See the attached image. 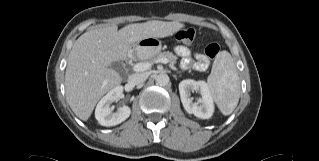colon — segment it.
Instances as JSON below:
<instances>
[{"label":"colon","mask_w":319,"mask_h":161,"mask_svg":"<svg viewBox=\"0 0 319 161\" xmlns=\"http://www.w3.org/2000/svg\"><path fill=\"white\" fill-rule=\"evenodd\" d=\"M196 38V31L193 28H185L179 30L175 39L184 44H192ZM220 51V46L218 42L211 41L204 46V55L208 58H214Z\"/></svg>","instance_id":"1"}]
</instances>
